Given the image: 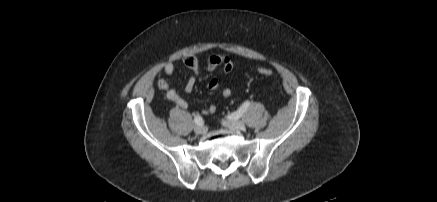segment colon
I'll return each mask as SVG.
<instances>
[{
	"mask_svg": "<svg viewBox=\"0 0 437 202\" xmlns=\"http://www.w3.org/2000/svg\"><path fill=\"white\" fill-rule=\"evenodd\" d=\"M258 73H259L261 76H264V77H269V76H271V75L273 74V72H272L271 69H269V68H264V67L259 68V69H258Z\"/></svg>",
	"mask_w": 437,
	"mask_h": 202,
	"instance_id": "colon-1",
	"label": "colon"
}]
</instances>
